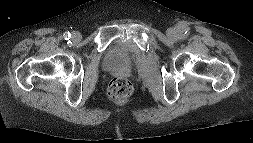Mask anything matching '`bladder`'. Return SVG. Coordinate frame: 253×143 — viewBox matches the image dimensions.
<instances>
[{
  "label": "bladder",
  "instance_id": "1",
  "mask_svg": "<svg viewBox=\"0 0 253 143\" xmlns=\"http://www.w3.org/2000/svg\"><path fill=\"white\" fill-rule=\"evenodd\" d=\"M103 62L108 69L124 68L132 63L131 53L123 42L115 41L106 50Z\"/></svg>",
  "mask_w": 253,
  "mask_h": 143
}]
</instances>
